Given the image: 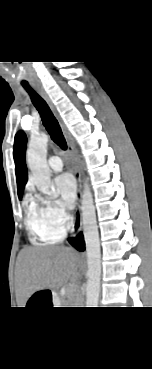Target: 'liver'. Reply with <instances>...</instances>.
<instances>
[{
    "mask_svg": "<svg viewBox=\"0 0 152 369\" xmlns=\"http://www.w3.org/2000/svg\"><path fill=\"white\" fill-rule=\"evenodd\" d=\"M18 283L22 293L46 288H58L77 278L79 260L75 253L64 247H27L20 252Z\"/></svg>",
    "mask_w": 152,
    "mask_h": 369,
    "instance_id": "1",
    "label": "liver"
}]
</instances>
